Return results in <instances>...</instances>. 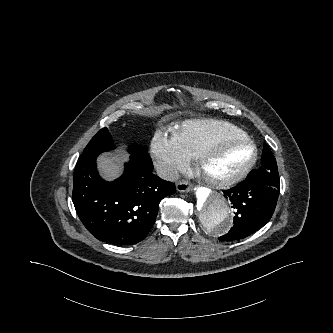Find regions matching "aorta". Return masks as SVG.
<instances>
[{
	"instance_id": "762f6f07",
	"label": "aorta",
	"mask_w": 333,
	"mask_h": 333,
	"mask_svg": "<svg viewBox=\"0 0 333 333\" xmlns=\"http://www.w3.org/2000/svg\"><path fill=\"white\" fill-rule=\"evenodd\" d=\"M193 206L199 223L212 233H220L228 226L230 206L226 197L220 192L198 188Z\"/></svg>"
}]
</instances>
